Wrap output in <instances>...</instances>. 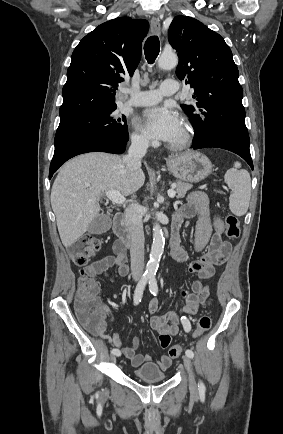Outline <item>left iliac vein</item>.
<instances>
[{
  "instance_id": "1",
  "label": "left iliac vein",
  "mask_w": 283,
  "mask_h": 434,
  "mask_svg": "<svg viewBox=\"0 0 283 434\" xmlns=\"http://www.w3.org/2000/svg\"><path fill=\"white\" fill-rule=\"evenodd\" d=\"M183 362H184L185 368H186L188 375H189L190 390L192 393H197V384H196V380H195V377L193 374L192 363H191L190 357L184 356Z\"/></svg>"
}]
</instances>
